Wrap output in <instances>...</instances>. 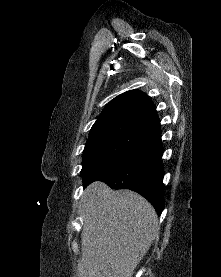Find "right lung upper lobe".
Instances as JSON below:
<instances>
[{"mask_svg": "<svg viewBox=\"0 0 221 277\" xmlns=\"http://www.w3.org/2000/svg\"><path fill=\"white\" fill-rule=\"evenodd\" d=\"M154 110L152 101L143 92L127 91L109 102L92 129L107 125L141 124L143 117Z\"/></svg>", "mask_w": 221, "mask_h": 277, "instance_id": "obj_1", "label": "right lung upper lobe"}]
</instances>
